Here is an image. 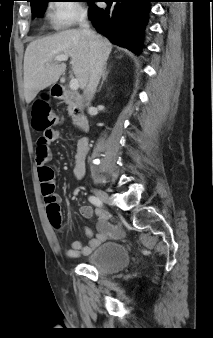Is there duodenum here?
I'll return each instance as SVG.
<instances>
[{"label":"duodenum","mask_w":213,"mask_h":338,"mask_svg":"<svg viewBox=\"0 0 213 338\" xmlns=\"http://www.w3.org/2000/svg\"><path fill=\"white\" fill-rule=\"evenodd\" d=\"M52 92L55 99L65 100L70 104L76 125L83 130L88 129L90 123L85 113L82 96L78 92L60 85L55 86Z\"/></svg>","instance_id":"duodenum-1"}]
</instances>
